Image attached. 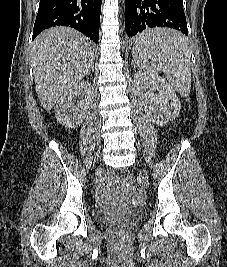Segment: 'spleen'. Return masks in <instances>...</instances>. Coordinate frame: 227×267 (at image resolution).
I'll return each mask as SVG.
<instances>
[{
  "instance_id": "1",
  "label": "spleen",
  "mask_w": 227,
  "mask_h": 267,
  "mask_svg": "<svg viewBox=\"0 0 227 267\" xmlns=\"http://www.w3.org/2000/svg\"><path fill=\"white\" fill-rule=\"evenodd\" d=\"M133 63L145 72V77L166 75L171 86L182 96H187L191 87V56L184 35L163 28L148 29L131 46Z\"/></svg>"
}]
</instances>
